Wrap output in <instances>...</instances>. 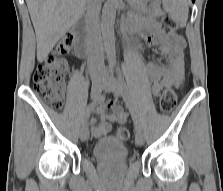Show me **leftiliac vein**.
Returning a JSON list of instances; mask_svg holds the SVG:
<instances>
[{
  "instance_id": "left-iliac-vein-1",
  "label": "left iliac vein",
  "mask_w": 223,
  "mask_h": 191,
  "mask_svg": "<svg viewBox=\"0 0 223 191\" xmlns=\"http://www.w3.org/2000/svg\"><path fill=\"white\" fill-rule=\"evenodd\" d=\"M105 90L114 93L116 96L123 97L125 100V87L121 80L114 76H107L104 80ZM145 142L144 135L141 129L135 130V143L142 146Z\"/></svg>"
}]
</instances>
